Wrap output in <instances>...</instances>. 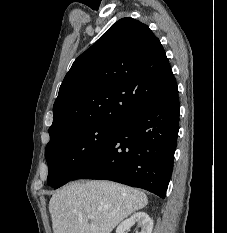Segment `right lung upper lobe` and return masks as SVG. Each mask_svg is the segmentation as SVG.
Segmentation results:
<instances>
[{"instance_id": "obj_1", "label": "right lung upper lobe", "mask_w": 227, "mask_h": 233, "mask_svg": "<svg viewBox=\"0 0 227 233\" xmlns=\"http://www.w3.org/2000/svg\"><path fill=\"white\" fill-rule=\"evenodd\" d=\"M175 84L159 39L147 25L122 18L66 74L53 106L50 138L86 124L120 123Z\"/></svg>"}]
</instances>
